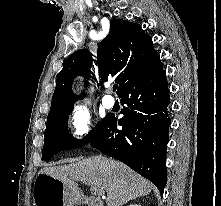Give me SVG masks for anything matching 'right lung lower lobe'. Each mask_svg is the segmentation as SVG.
<instances>
[{
    "mask_svg": "<svg viewBox=\"0 0 221 206\" xmlns=\"http://www.w3.org/2000/svg\"><path fill=\"white\" fill-rule=\"evenodd\" d=\"M124 116H108L88 143L153 182L161 194L167 182L166 145L171 123L168 84L161 62L119 95ZM117 125L122 126L121 130Z\"/></svg>",
    "mask_w": 221,
    "mask_h": 206,
    "instance_id": "obj_1",
    "label": "right lung lower lobe"
}]
</instances>
